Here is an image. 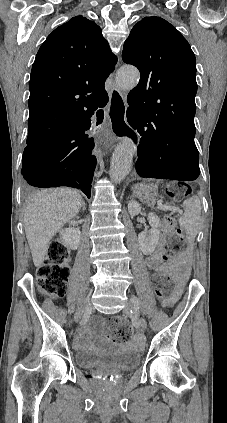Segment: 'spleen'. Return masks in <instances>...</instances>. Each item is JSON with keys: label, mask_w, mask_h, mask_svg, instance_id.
Returning a JSON list of instances; mask_svg holds the SVG:
<instances>
[{"label": "spleen", "mask_w": 227, "mask_h": 423, "mask_svg": "<svg viewBox=\"0 0 227 423\" xmlns=\"http://www.w3.org/2000/svg\"><path fill=\"white\" fill-rule=\"evenodd\" d=\"M159 182V180H158ZM184 213L179 217V225L188 235H196L200 223L201 204L197 196H191L182 204Z\"/></svg>", "instance_id": "obj_1"}]
</instances>
